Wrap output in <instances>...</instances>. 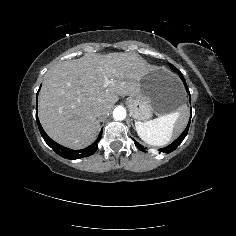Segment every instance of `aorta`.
<instances>
[{
    "instance_id": "aorta-1",
    "label": "aorta",
    "mask_w": 236,
    "mask_h": 236,
    "mask_svg": "<svg viewBox=\"0 0 236 236\" xmlns=\"http://www.w3.org/2000/svg\"><path fill=\"white\" fill-rule=\"evenodd\" d=\"M113 117L116 120H123L126 117V111L122 107H116L113 111Z\"/></svg>"
}]
</instances>
